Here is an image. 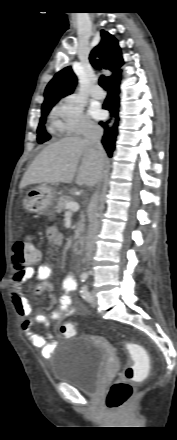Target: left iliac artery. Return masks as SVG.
Listing matches in <instances>:
<instances>
[{
    "label": "left iliac artery",
    "instance_id": "left-iliac-artery-1",
    "mask_svg": "<svg viewBox=\"0 0 177 440\" xmlns=\"http://www.w3.org/2000/svg\"><path fill=\"white\" fill-rule=\"evenodd\" d=\"M81 294H82V297L87 301V302H91V300H92V297H91V294H90V292L88 291V288H87V286L86 285H84L82 288H81Z\"/></svg>",
    "mask_w": 177,
    "mask_h": 440
}]
</instances>
